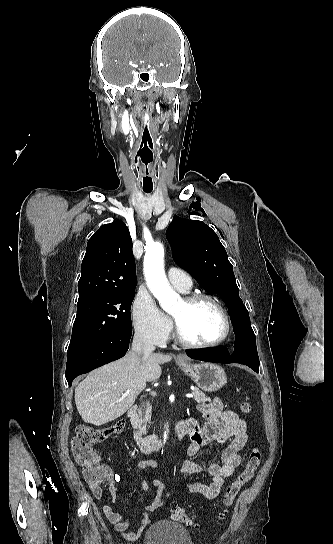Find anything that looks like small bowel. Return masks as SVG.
I'll list each match as a JSON object with an SVG mask.
<instances>
[{
	"label": "small bowel",
	"mask_w": 333,
	"mask_h": 544,
	"mask_svg": "<svg viewBox=\"0 0 333 544\" xmlns=\"http://www.w3.org/2000/svg\"><path fill=\"white\" fill-rule=\"evenodd\" d=\"M198 410L205 418L206 423L200 425L196 420L191 418L183 420L186 430L185 434L190 437L191 442L186 450L189 458L180 463L178 470L185 474L202 472V466L193 458L198 456L201 450L211 443L227 444L222 453V464L213 463L208 466L207 471L211 476V482H195L186 486V490L189 493L201 494L205 498L212 500L219 495L225 479L230 477L240 465V452L247 441V425L234 411L225 409L219 398L199 404ZM157 467L158 463L154 459H143L136 465L138 470ZM105 470L106 477L104 482L107 484L109 492L112 495H116L118 492L116 484L120 480V477L115 475L107 467H105ZM140 484L144 492L149 491L150 487L153 486L157 493L152 503L144 505V512L136 529L128 531L129 522L114 511L111 505H104L102 508L103 514L114 526L115 530L122 533L123 537L129 541H135L140 538L150 523V513L157 510L170 496V493L165 490L160 480H155L150 484L144 477H141ZM91 489L96 499L102 498L103 490L101 486L92 487Z\"/></svg>",
	"instance_id": "c3829d8e"
}]
</instances>
